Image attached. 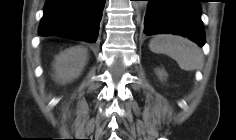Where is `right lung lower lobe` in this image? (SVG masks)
Masks as SVG:
<instances>
[{
  "label": "right lung lower lobe",
  "mask_w": 236,
  "mask_h": 140,
  "mask_svg": "<svg viewBox=\"0 0 236 140\" xmlns=\"http://www.w3.org/2000/svg\"><path fill=\"white\" fill-rule=\"evenodd\" d=\"M105 0H47L39 35H60L94 43Z\"/></svg>",
  "instance_id": "right-lung-lower-lobe-1"
}]
</instances>
